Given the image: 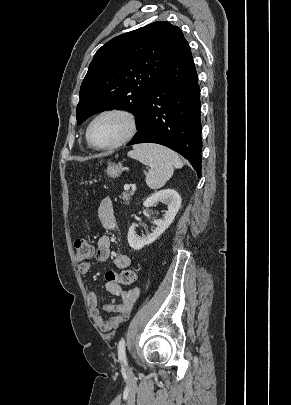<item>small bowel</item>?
I'll return each mask as SVG.
<instances>
[{
  "instance_id": "1",
  "label": "small bowel",
  "mask_w": 291,
  "mask_h": 405,
  "mask_svg": "<svg viewBox=\"0 0 291 405\" xmlns=\"http://www.w3.org/2000/svg\"><path fill=\"white\" fill-rule=\"evenodd\" d=\"M99 219L103 227L107 229H116L115 210L113 201L110 198H104L99 205ZM111 254V241L108 235H102L97 241L95 258L99 262H105ZM115 265L120 269H126L131 265V259L128 255L119 253L114 259ZM91 263L85 262L79 264V271L87 274L91 270ZM106 290L111 293L115 299L112 302L105 303L101 307L98 305L96 293L88 294V303L90 306L91 318L95 325L103 332L111 331L125 322L131 315L134 303L139 297L140 290L138 287L123 289L119 284L107 280L105 283ZM102 313H115L109 319H105Z\"/></svg>"
}]
</instances>
